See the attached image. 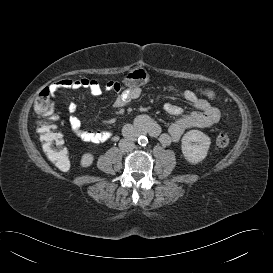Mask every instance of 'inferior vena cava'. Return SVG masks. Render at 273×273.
I'll use <instances>...</instances> for the list:
<instances>
[{
  "mask_svg": "<svg viewBox=\"0 0 273 273\" xmlns=\"http://www.w3.org/2000/svg\"><path fill=\"white\" fill-rule=\"evenodd\" d=\"M119 147L121 150L129 152L135 148V144L127 139H122L119 142Z\"/></svg>",
  "mask_w": 273,
  "mask_h": 273,
  "instance_id": "1",
  "label": "inferior vena cava"
}]
</instances>
